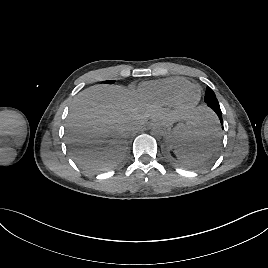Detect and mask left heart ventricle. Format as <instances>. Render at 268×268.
<instances>
[{
    "instance_id": "left-heart-ventricle-1",
    "label": "left heart ventricle",
    "mask_w": 268,
    "mask_h": 268,
    "mask_svg": "<svg viewBox=\"0 0 268 268\" xmlns=\"http://www.w3.org/2000/svg\"><path fill=\"white\" fill-rule=\"evenodd\" d=\"M197 96H198L197 89H191L184 96V102L187 103V104L192 103L193 101L196 100Z\"/></svg>"
}]
</instances>
